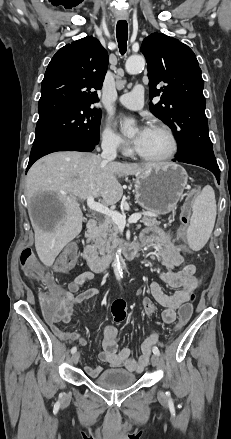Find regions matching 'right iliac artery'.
<instances>
[{"label":"right iliac artery","mask_w":231,"mask_h":439,"mask_svg":"<svg viewBox=\"0 0 231 439\" xmlns=\"http://www.w3.org/2000/svg\"><path fill=\"white\" fill-rule=\"evenodd\" d=\"M76 351H77V348H76V347H73V348L71 349V353H72V354H74Z\"/></svg>","instance_id":"right-iliac-artery-1"}]
</instances>
